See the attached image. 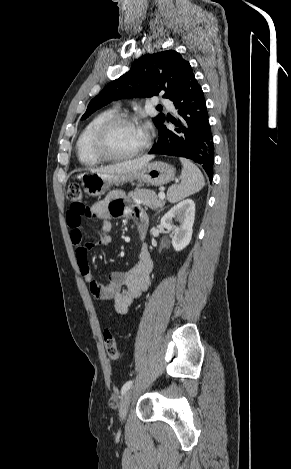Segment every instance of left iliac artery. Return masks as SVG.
Segmentation results:
<instances>
[{
    "label": "left iliac artery",
    "instance_id": "left-iliac-artery-1",
    "mask_svg": "<svg viewBox=\"0 0 291 469\" xmlns=\"http://www.w3.org/2000/svg\"><path fill=\"white\" fill-rule=\"evenodd\" d=\"M133 384V381L132 380H129L128 382H126L122 389H121V394L123 395Z\"/></svg>",
    "mask_w": 291,
    "mask_h": 469
}]
</instances>
